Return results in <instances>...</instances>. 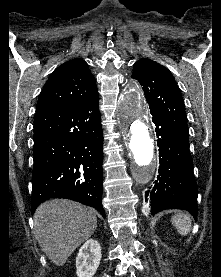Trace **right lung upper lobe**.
Instances as JSON below:
<instances>
[{
	"mask_svg": "<svg viewBox=\"0 0 221 277\" xmlns=\"http://www.w3.org/2000/svg\"><path fill=\"white\" fill-rule=\"evenodd\" d=\"M98 96L95 78L87 63L75 58L60 65L42 89L36 110L61 109Z\"/></svg>",
	"mask_w": 221,
	"mask_h": 277,
	"instance_id": "1",
	"label": "right lung upper lobe"
}]
</instances>
